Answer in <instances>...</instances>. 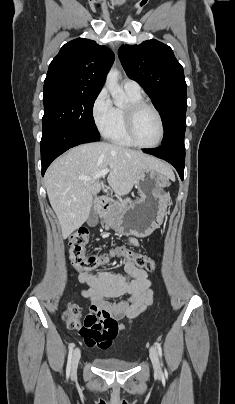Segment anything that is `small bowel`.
I'll list each match as a JSON object with an SVG mask.
<instances>
[{
	"label": "small bowel",
	"instance_id": "small-bowel-1",
	"mask_svg": "<svg viewBox=\"0 0 235 404\" xmlns=\"http://www.w3.org/2000/svg\"><path fill=\"white\" fill-rule=\"evenodd\" d=\"M131 243L134 246L138 245L134 238L131 239ZM125 270L131 279L121 274L99 270H79L77 272L78 281L86 285L81 293L91 301V311L98 315L104 314L113 320L115 333L125 328L123 324L117 323L116 319L126 316L131 322L134 318L144 314L153 302L151 281L147 272L130 262H126ZM124 294H128L130 298L117 303L107 300V298ZM79 333L87 347H106L108 345L106 338L100 332L89 333L85 328H81Z\"/></svg>",
	"mask_w": 235,
	"mask_h": 404
}]
</instances>
